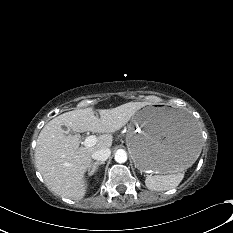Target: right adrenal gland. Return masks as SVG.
<instances>
[{
  "instance_id": "1",
  "label": "right adrenal gland",
  "mask_w": 233,
  "mask_h": 233,
  "mask_svg": "<svg viewBox=\"0 0 233 233\" xmlns=\"http://www.w3.org/2000/svg\"><path fill=\"white\" fill-rule=\"evenodd\" d=\"M102 164H105V162H95V163H93V165H92V169H91V171H90V175H93L95 172H96V170L98 169V167H99V165H102Z\"/></svg>"
}]
</instances>
